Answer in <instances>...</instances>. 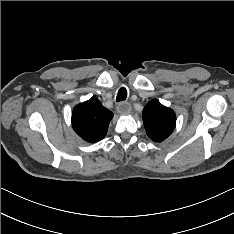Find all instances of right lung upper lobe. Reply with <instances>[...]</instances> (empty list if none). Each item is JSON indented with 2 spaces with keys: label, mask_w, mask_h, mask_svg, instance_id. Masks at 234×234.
<instances>
[{
  "label": "right lung upper lobe",
  "mask_w": 234,
  "mask_h": 234,
  "mask_svg": "<svg viewBox=\"0 0 234 234\" xmlns=\"http://www.w3.org/2000/svg\"><path fill=\"white\" fill-rule=\"evenodd\" d=\"M113 113L103 107L96 97L78 104L72 113V126L85 141L93 143L107 134Z\"/></svg>",
  "instance_id": "right-lung-upper-lobe-1"
}]
</instances>
